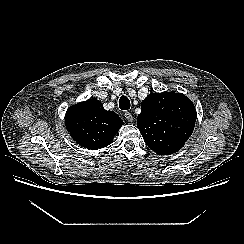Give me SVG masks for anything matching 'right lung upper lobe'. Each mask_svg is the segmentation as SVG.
I'll list each match as a JSON object with an SVG mask.
<instances>
[{
  "label": "right lung upper lobe",
  "instance_id": "obj_1",
  "mask_svg": "<svg viewBox=\"0 0 244 244\" xmlns=\"http://www.w3.org/2000/svg\"><path fill=\"white\" fill-rule=\"evenodd\" d=\"M65 125L79 145L97 150L112 142L123 121L115 112L105 110L100 101L89 99L67 110Z\"/></svg>",
  "mask_w": 244,
  "mask_h": 244
}]
</instances>
